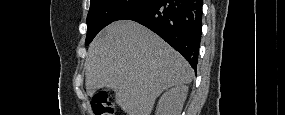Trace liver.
Segmentation results:
<instances>
[{
	"instance_id": "1",
	"label": "liver",
	"mask_w": 285,
	"mask_h": 115,
	"mask_svg": "<svg viewBox=\"0 0 285 115\" xmlns=\"http://www.w3.org/2000/svg\"><path fill=\"white\" fill-rule=\"evenodd\" d=\"M86 90L112 89L127 115H150L156 98L192 81L188 62L157 34L129 20L105 27L93 40L85 61Z\"/></svg>"
}]
</instances>
